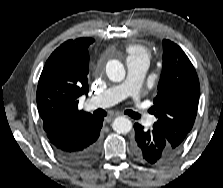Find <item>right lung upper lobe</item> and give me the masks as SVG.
Listing matches in <instances>:
<instances>
[{
	"label": "right lung upper lobe",
	"mask_w": 223,
	"mask_h": 188,
	"mask_svg": "<svg viewBox=\"0 0 223 188\" xmlns=\"http://www.w3.org/2000/svg\"><path fill=\"white\" fill-rule=\"evenodd\" d=\"M92 38L68 40L48 58L39 78L36 101L48 132L78 126L94 117L78 110L79 97L89 91V53Z\"/></svg>",
	"instance_id": "1"
}]
</instances>
